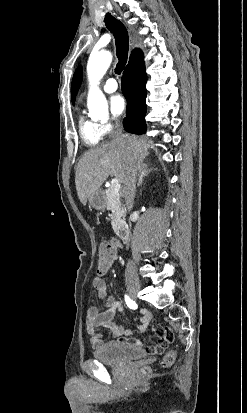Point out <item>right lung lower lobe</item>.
<instances>
[{
    "label": "right lung lower lobe",
    "mask_w": 247,
    "mask_h": 413,
    "mask_svg": "<svg viewBox=\"0 0 247 413\" xmlns=\"http://www.w3.org/2000/svg\"><path fill=\"white\" fill-rule=\"evenodd\" d=\"M146 81L144 69L135 74L123 75L121 82L122 92L127 100L123 126L127 132L138 135L146 132Z\"/></svg>",
    "instance_id": "98d812e1"
}]
</instances>
